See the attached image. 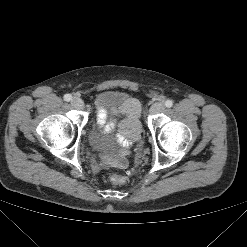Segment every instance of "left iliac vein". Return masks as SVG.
Instances as JSON below:
<instances>
[{"instance_id":"1","label":"left iliac vein","mask_w":247,"mask_h":247,"mask_svg":"<svg viewBox=\"0 0 247 247\" xmlns=\"http://www.w3.org/2000/svg\"><path fill=\"white\" fill-rule=\"evenodd\" d=\"M164 104L162 102H156L154 103L150 108L151 114H157L159 112H162L164 110Z\"/></svg>"}]
</instances>
